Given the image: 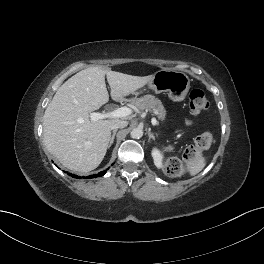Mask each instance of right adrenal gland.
Returning a JSON list of instances; mask_svg holds the SVG:
<instances>
[{
    "label": "right adrenal gland",
    "instance_id": "2a0ac1e0",
    "mask_svg": "<svg viewBox=\"0 0 264 264\" xmlns=\"http://www.w3.org/2000/svg\"><path fill=\"white\" fill-rule=\"evenodd\" d=\"M116 133H117V130H114V131H113V134H112V136H111V138H110V142H109V146H108V148H110L111 145L113 144V141H114V139H115V135H116Z\"/></svg>",
    "mask_w": 264,
    "mask_h": 264
}]
</instances>
